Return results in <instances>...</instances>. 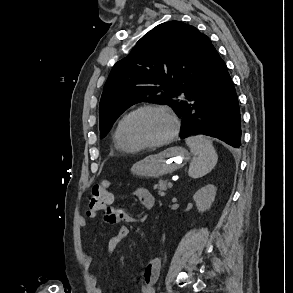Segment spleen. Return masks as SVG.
<instances>
[{"label": "spleen", "mask_w": 293, "mask_h": 293, "mask_svg": "<svg viewBox=\"0 0 293 293\" xmlns=\"http://www.w3.org/2000/svg\"><path fill=\"white\" fill-rule=\"evenodd\" d=\"M186 144L194 154L188 174L192 178H200L208 174L217 164L218 155L212 142L205 136H191L186 139Z\"/></svg>", "instance_id": "spleen-1"}]
</instances>
